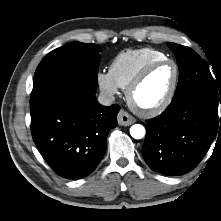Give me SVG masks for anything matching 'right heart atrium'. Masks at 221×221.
Returning <instances> with one entry per match:
<instances>
[{
    "instance_id": "right-heart-atrium-1",
    "label": "right heart atrium",
    "mask_w": 221,
    "mask_h": 221,
    "mask_svg": "<svg viewBox=\"0 0 221 221\" xmlns=\"http://www.w3.org/2000/svg\"><path fill=\"white\" fill-rule=\"evenodd\" d=\"M98 87L108 96L116 95L119 91V86L112 78L110 72L99 71L96 75Z\"/></svg>"
}]
</instances>
